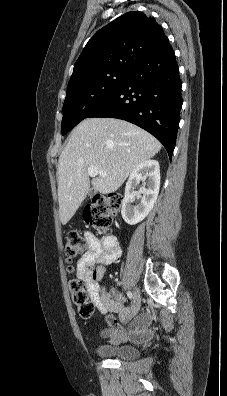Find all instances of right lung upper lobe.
Instances as JSON below:
<instances>
[{"instance_id":"right-lung-upper-lobe-1","label":"right lung upper lobe","mask_w":227,"mask_h":396,"mask_svg":"<svg viewBox=\"0 0 227 396\" xmlns=\"http://www.w3.org/2000/svg\"><path fill=\"white\" fill-rule=\"evenodd\" d=\"M169 44L162 27L142 12H128L88 41L75 63L68 87L110 70H132Z\"/></svg>"}]
</instances>
